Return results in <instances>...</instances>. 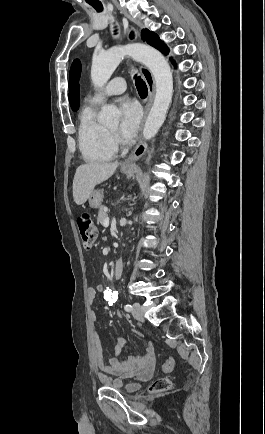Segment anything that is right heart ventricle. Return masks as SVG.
Here are the masks:
<instances>
[{
    "label": "right heart ventricle",
    "mask_w": 265,
    "mask_h": 434,
    "mask_svg": "<svg viewBox=\"0 0 265 434\" xmlns=\"http://www.w3.org/2000/svg\"><path fill=\"white\" fill-rule=\"evenodd\" d=\"M96 102H85L78 110V143L87 163L98 164L111 161L116 149L109 141V130L96 118Z\"/></svg>",
    "instance_id": "e07e8e85"
}]
</instances>
